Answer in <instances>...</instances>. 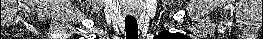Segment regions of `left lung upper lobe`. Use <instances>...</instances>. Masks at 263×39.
Listing matches in <instances>:
<instances>
[{"label":"left lung upper lobe","instance_id":"5c2ea615","mask_svg":"<svg viewBox=\"0 0 263 39\" xmlns=\"http://www.w3.org/2000/svg\"><path fill=\"white\" fill-rule=\"evenodd\" d=\"M184 39L185 37H182V34L178 33H170L168 31H163L158 35H155L154 39Z\"/></svg>","mask_w":263,"mask_h":39}]
</instances>
